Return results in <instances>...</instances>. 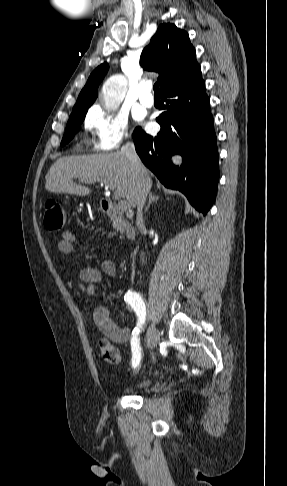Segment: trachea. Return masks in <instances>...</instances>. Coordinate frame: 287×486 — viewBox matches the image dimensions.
Returning <instances> with one entry per match:
<instances>
[{"label":"trachea","instance_id":"3493384b","mask_svg":"<svg viewBox=\"0 0 287 486\" xmlns=\"http://www.w3.org/2000/svg\"><path fill=\"white\" fill-rule=\"evenodd\" d=\"M153 90L155 92V95H159L160 94V89H159V84L158 83H155L154 84Z\"/></svg>","mask_w":287,"mask_h":486}]
</instances>
